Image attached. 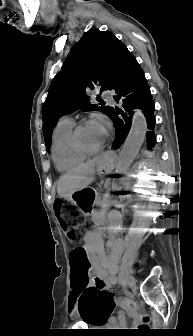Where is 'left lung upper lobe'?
<instances>
[{"label": "left lung upper lobe", "mask_w": 193, "mask_h": 336, "mask_svg": "<svg viewBox=\"0 0 193 336\" xmlns=\"http://www.w3.org/2000/svg\"><path fill=\"white\" fill-rule=\"evenodd\" d=\"M126 46L107 31L92 29L86 32L68 54L60 72L49 87L43 104V133L47 150L58 119L77 109L99 110L109 116L111 109L90 103L86 92L101 86L109 90L115 78L122 51Z\"/></svg>", "instance_id": "5c2ea615"}]
</instances>
